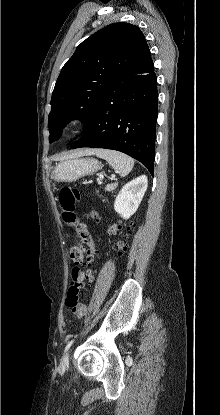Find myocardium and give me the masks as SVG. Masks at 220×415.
I'll use <instances>...</instances> for the list:
<instances>
[{"label": "myocardium", "mask_w": 220, "mask_h": 415, "mask_svg": "<svg viewBox=\"0 0 220 415\" xmlns=\"http://www.w3.org/2000/svg\"><path fill=\"white\" fill-rule=\"evenodd\" d=\"M78 127H79V121L76 119H70L64 125V129L70 133L76 131Z\"/></svg>", "instance_id": "myocardium-1"}]
</instances>
